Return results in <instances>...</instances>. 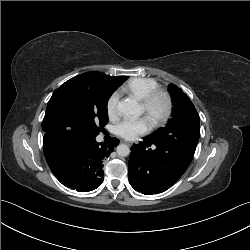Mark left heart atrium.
Returning <instances> with one entry per match:
<instances>
[{
    "instance_id": "obj_1",
    "label": "left heart atrium",
    "mask_w": 250,
    "mask_h": 250,
    "mask_svg": "<svg viewBox=\"0 0 250 250\" xmlns=\"http://www.w3.org/2000/svg\"><path fill=\"white\" fill-rule=\"evenodd\" d=\"M150 128L151 122L147 117L126 118L115 126V133L127 140H134L147 133Z\"/></svg>"
}]
</instances>
